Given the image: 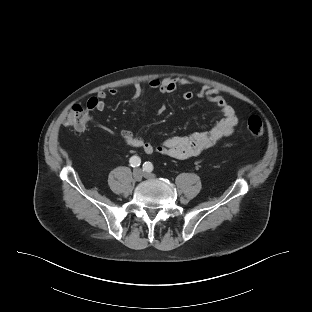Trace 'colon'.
Listing matches in <instances>:
<instances>
[{
	"label": "colon",
	"mask_w": 312,
	"mask_h": 312,
	"mask_svg": "<svg viewBox=\"0 0 312 312\" xmlns=\"http://www.w3.org/2000/svg\"><path fill=\"white\" fill-rule=\"evenodd\" d=\"M89 120L88 110L81 104H73L67 112L64 125L71 129L84 130ZM247 132L250 138H257L263 135L264 126L260 117L251 116L247 121Z\"/></svg>",
	"instance_id": "1"
}]
</instances>
